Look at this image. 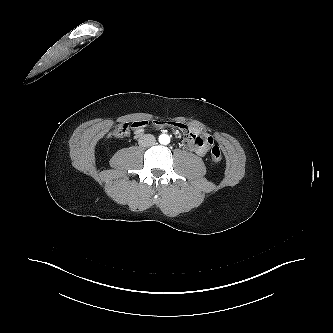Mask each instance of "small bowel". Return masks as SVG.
I'll return each instance as SVG.
<instances>
[{"instance_id":"1","label":"small bowel","mask_w":333,"mask_h":333,"mask_svg":"<svg viewBox=\"0 0 333 333\" xmlns=\"http://www.w3.org/2000/svg\"><path fill=\"white\" fill-rule=\"evenodd\" d=\"M154 124L158 127H170L183 132L185 135L182 141L183 146L198 155H206L211 144H213V139L211 136L198 129L189 127L184 123L178 121L157 120L154 122ZM146 126L147 121L145 120H138L133 122L132 127L134 129V134L137 137L143 135Z\"/></svg>"}]
</instances>
